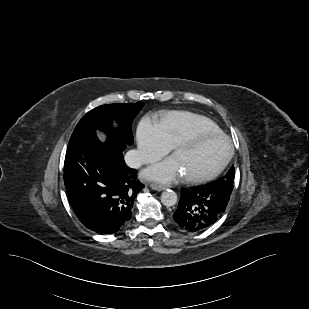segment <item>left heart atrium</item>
Instances as JSON below:
<instances>
[{
    "mask_svg": "<svg viewBox=\"0 0 309 309\" xmlns=\"http://www.w3.org/2000/svg\"><path fill=\"white\" fill-rule=\"evenodd\" d=\"M144 176L165 183L182 180L186 174L175 155L149 167L144 171Z\"/></svg>",
    "mask_w": 309,
    "mask_h": 309,
    "instance_id": "1",
    "label": "left heart atrium"
}]
</instances>
